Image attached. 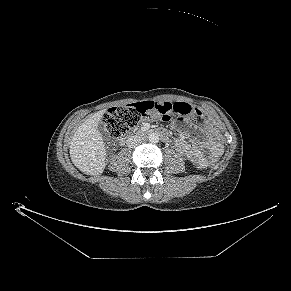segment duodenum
Masks as SVG:
<instances>
[{
  "label": "duodenum",
  "instance_id": "1",
  "mask_svg": "<svg viewBox=\"0 0 291 291\" xmlns=\"http://www.w3.org/2000/svg\"><path fill=\"white\" fill-rule=\"evenodd\" d=\"M156 132L159 133V134H163V132H162L161 130H157ZM147 133H148L147 131H139V132L137 133V135L142 136V135H146ZM133 136H134V134H129V135H127L125 138H123V139L120 141V144L125 143L127 140H129V139L132 138Z\"/></svg>",
  "mask_w": 291,
  "mask_h": 291
}]
</instances>
